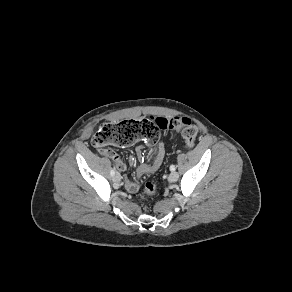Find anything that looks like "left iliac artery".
Wrapping results in <instances>:
<instances>
[{
  "instance_id": "44dca946",
  "label": "left iliac artery",
  "mask_w": 292,
  "mask_h": 292,
  "mask_svg": "<svg viewBox=\"0 0 292 292\" xmlns=\"http://www.w3.org/2000/svg\"><path fill=\"white\" fill-rule=\"evenodd\" d=\"M175 169H176V167H175L174 165H171V166H170V170H171V171H175Z\"/></svg>"
}]
</instances>
